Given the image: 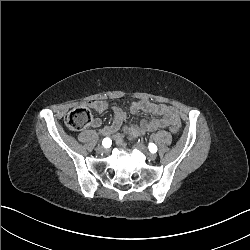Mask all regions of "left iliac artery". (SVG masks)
<instances>
[{"mask_svg": "<svg viewBox=\"0 0 250 250\" xmlns=\"http://www.w3.org/2000/svg\"><path fill=\"white\" fill-rule=\"evenodd\" d=\"M148 148L151 153H155L157 151V146L154 143H149Z\"/></svg>", "mask_w": 250, "mask_h": 250, "instance_id": "obj_1", "label": "left iliac artery"}]
</instances>
